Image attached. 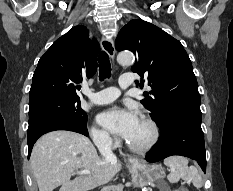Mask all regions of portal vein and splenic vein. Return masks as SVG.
Returning a JSON list of instances; mask_svg holds the SVG:
<instances>
[{
  "instance_id": "18ae733b",
  "label": "portal vein and splenic vein",
  "mask_w": 233,
  "mask_h": 191,
  "mask_svg": "<svg viewBox=\"0 0 233 191\" xmlns=\"http://www.w3.org/2000/svg\"><path fill=\"white\" fill-rule=\"evenodd\" d=\"M90 170H81V171H77L78 175H86V174H90Z\"/></svg>"
}]
</instances>
